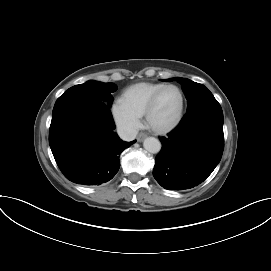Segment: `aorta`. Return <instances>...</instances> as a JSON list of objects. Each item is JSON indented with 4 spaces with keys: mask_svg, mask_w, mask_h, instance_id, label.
Listing matches in <instances>:
<instances>
[{
    "mask_svg": "<svg viewBox=\"0 0 271 271\" xmlns=\"http://www.w3.org/2000/svg\"><path fill=\"white\" fill-rule=\"evenodd\" d=\"M143 147L150 153H158L161 150V143L157 138L148 137L143 142Z\"/></svg>",
    "mask_w": 271,
    "mask_h": 271,
    "instance_id": "aorta-1",
    "label": "aorta"
}]
</instances>
